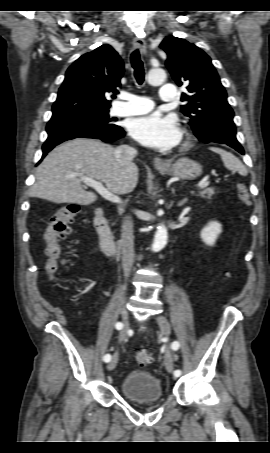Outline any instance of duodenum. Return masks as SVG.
<instances>
[{"instance_id": "1", "label": "duodenum", "mask_w": 270, "mask_h": 453, "mask_svg": "<svg viewBox=\"0 0 270 453\" xmlns=\"http://www.w3.org/2000/svg\"><path fill=\"white\" fill-rule=\"evenodd\" d=\"M94 226L97 231L99 242L102 251L107 255H114L116 253V244L113 234L105 219L103 209L99 208L95 211Z\"/></svg>"}]
</instances>
